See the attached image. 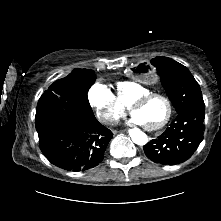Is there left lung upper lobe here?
<instances>
[{
	"instance_id": "obj_1",
	"label": "left lung upper lobe",
	"mask_w": 221,
	"mask_h": 221,
	"mask_svg": "<svg viewBox=\"0 0 221 221\" xmlns=\"http://www.w3.org/2000/svg\"><path fill=\"white\" fill-rule=\"evenodd\" d=\"M151 63L157 68L163 86L178 113L191 107L204 106L200 86L185 66L162 56L152 59Z\"/></svg>"
}]
</instances>
